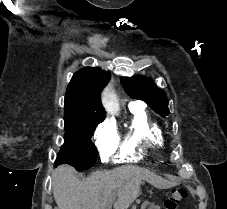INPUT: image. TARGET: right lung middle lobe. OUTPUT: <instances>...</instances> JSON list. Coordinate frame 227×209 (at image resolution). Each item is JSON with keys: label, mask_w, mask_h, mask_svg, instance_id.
<instances>
[{"label": "right lung middle lobe", "mask_w": 227, "mask_h": 209, "mask_svg": "<svg viewBox=\"0 0 227 209\" xmlns=\"http://www.w3.org/2000/svg\"><path fill=\"white\" fill-rule=\"evenodd\" d=\"M103 120L104 117L99 116L64 119L65 142L54 165L69 164L78 171L93 167L98 152L90 138L96 126Z\"/></svg>", "instance_id": "dd1d6c3e"}]
</instances>
